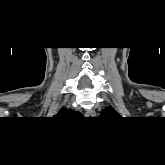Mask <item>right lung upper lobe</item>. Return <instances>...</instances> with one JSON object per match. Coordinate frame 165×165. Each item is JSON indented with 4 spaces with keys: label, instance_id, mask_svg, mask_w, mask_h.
<instances>
[{
    "label": "right lung upper lobe",
    "instance_id": "obj_1",
    "mask_svg": "<svg viewBox=\"0 0 165 165\" xmlns=\"http://www.w3.org/2000/svg\"><path fill=\"white\" fill-rule=\"evenodd\" d=\"M66 112H67L66 109H61V110L57 113V115L54 116V117H64V116H66ZM72 114H74V111L69 110V111H68V116H69V115H72Z\"/></svg>",
    "mask_w": 165,
    "mask_h": 165
}]
</instances>
